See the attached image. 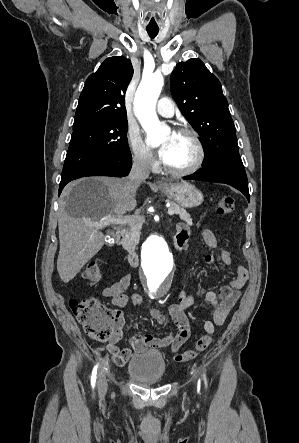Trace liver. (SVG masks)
<instances>
[{
    "label": "liver",
    "mask_w": 299,
    "mask_h": 443,
    "mask_svg": "<svg viewBox=\"0 0 299 443\" xmlns=\"http://www.w3.org/2000/svg\"><path fill=\"white\" fill-rule=\"evenodd\" d=\"M127 178H86L67 185L60 198L58 216L60 251L57 270L68 283L104 245L102 228L97 222L134 210L136 200L127 195Z\"/></svg>",
    "instance_id": "obj_1"
}]
</instances>
